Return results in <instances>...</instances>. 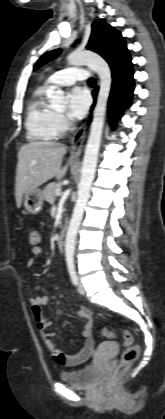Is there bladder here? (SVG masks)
<instances>
[{
    "mask_svg": "<svg viewBox=\"0 0 165 419\" xmlns=\"http://www.w3.org/2000/svg\"><path fill=\"white\" fill-rule=\"evenodd\" d=\"M61 379L70 387L90 389L98 382V372L95 365H87L79 369L62 372Z\"/></svg>",
    "mask_w": 165,
    "mask_h": 419,
    "instance_id": "bladder-1",
    "label": "bladder"
}]
</instances>
